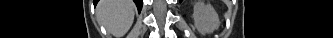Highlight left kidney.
<instances>
[{"instance_id": "5707ae66", "label": "left kidney", "mask_w": 333, "mask_h": 38, "mask_svg": "<svg viewBox=\"0 0 333 38\" xmlns=\"http://www.w3.org/2000/svg\"><path fill=\"white\" fill-rule=\"evenodd\" d=\"M193 18L195 26L201 35L210 34L220 26L218 14L210 4L196 2Z\"/></svg>"}]
</instances>
